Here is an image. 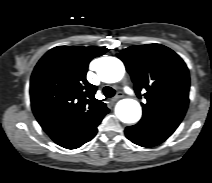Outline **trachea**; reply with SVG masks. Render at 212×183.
Instances as JSON below:
<instances>
[{
  "label": "trachea",
  "instance_id": "obj_1",
  "mask_svg": "<svg viewBox=\"0 0 212 183\" xmlns=\"http://www.w3.org/2000/svg\"><path fill=\"white\" fill-rule=\"evenodd\" d=\"M103 93L106 98H111L115 95V90L112 87L106 86L103 88Z\"/></svg>",
  "mask_w": 212,
  "mask_h": 183
}]
</instances>
